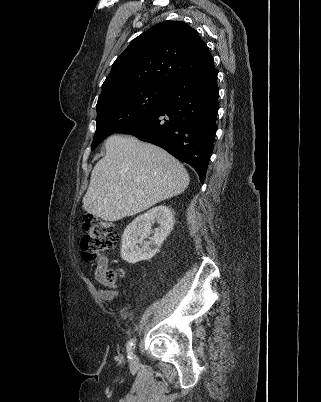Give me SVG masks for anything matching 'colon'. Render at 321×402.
<instances>
[{
    "label": "colon",
    "mask_w": 321,
    "mask_h": 402,
    "mask_svg": "<svg viewBox=\"0 0 321 402\" xmlns=\"http://www.w3.org/2000/svg\"><path fill=\"white\" fill-rule=\"evenodd\" d=\"M83 226L87 234L81 240V249L85 260L96 259L105 252L114 249L119 241V233L114 223L93 216L83 218ZM121 276L115 269H105L104 277L113 283Z\"/></svg>",
    "instance_id": "5ec220e1"
}]
</instances>
